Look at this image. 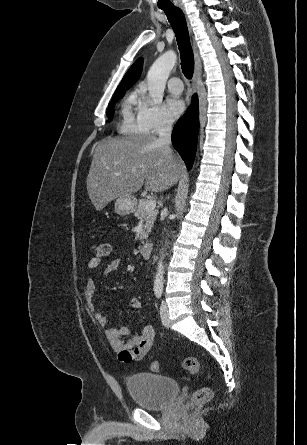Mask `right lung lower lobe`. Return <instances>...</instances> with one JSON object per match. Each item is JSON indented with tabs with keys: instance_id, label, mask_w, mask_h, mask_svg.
<instances>
[{
	"instance_id": "right-lung-lower-lobe-1",
	"label": "right lung lower lobe",
	"mask_w": 307,
	"mask_h": 445,
	"mask_svg": "<svg viewBox=\"0 0 307 445\" xmlns=\"http://www.w3.org/2000/svg\"><path fill=\"white\" fill-rule=\"evenodd\" d=\"M193 103L173 128L172 143L190 170L196 152L198 120V99L193 96Z\"/></svg>"
}]
</instances>
